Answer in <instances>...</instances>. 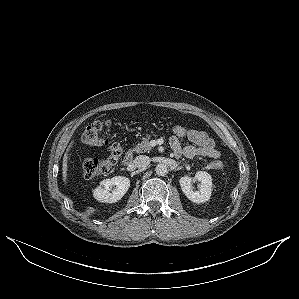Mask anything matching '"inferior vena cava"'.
<instances>
[{
    "label": "inferior vena cava",
    "mask_w": 299,
    "mask_h": 299,
    "mask_svg": "<svg viewBox=\"0 0 299 299\" xmlns=\"http://www.w3.org/2000/svg\"><path fill=\"white\" fill-rule=\"evenodd\" d=\"M134 165L138 169H144L149 166L150 158L146 155H139L134 159Z\"/></svg>",
    "instance_id": "inferior-vena-cava-1"
}]
</instances>
